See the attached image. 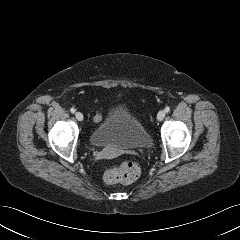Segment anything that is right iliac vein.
Here are the masks:
<instances>
[{
	"label": "right iliac vein",
	"mask_w": 240,
	"mask_h": 240,
	"mask_svg": "<svg viewBox=\"0 0 240 240\" xmlns=\"http://www.w3.org/2000/svg\"><path fill=\"white\" fill-rule=\"evenodd\" d=\"M75 117L78 121H83V119H84V116L81 112H76Z\"/></svg>",
	"instance_id": "obj_1"
}]
</instances>
